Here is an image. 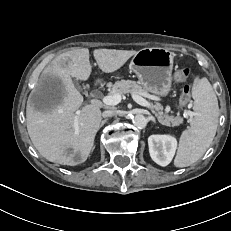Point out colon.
Wrapping results in <instances>:
<instances>
[{"instance_id":"colon-1","label":"colon","mask_w":231,"mask_h":231,"mask_svg":"<svg viewBox=\"0 0 231 231\" xmlns=\"http://www.w3.org/2000/svg\"><path fill=\"white\" fill-rule=\"evenodd\" d=\"M190 75V69L188 68H184L179 70L176 74H175V79L178 82H184L187 80V78ZM190 93H191V88L189 85H185L182 89L181 95H180V99H179V103L181 106H185L190 102Z\"/></svg>"}]
</instances>
